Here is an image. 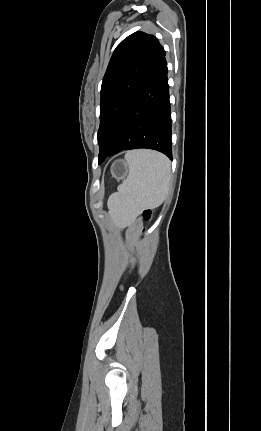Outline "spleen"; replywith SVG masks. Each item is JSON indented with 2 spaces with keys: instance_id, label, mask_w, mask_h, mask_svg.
I'll use <instances>...</instances> for the list:
<instances>
[{
  "instance_id": "1",
  "label": "spleen",
  "mask_w": 261,
  "mask_h": 431,
  "mask_svg": "<svg viewBox=\"0 0 261 431\" xmlns=\"http://www.w3.org/2000/svg\"><path fill=\"white\" fill-rule=\"evenodd\" d=\"M127 178L108 201L110 212L117 216H138L143 210L160 206L168 193L171 167L168 158L150 150L126 153Z\"/></svg>"
}]
</instances>
